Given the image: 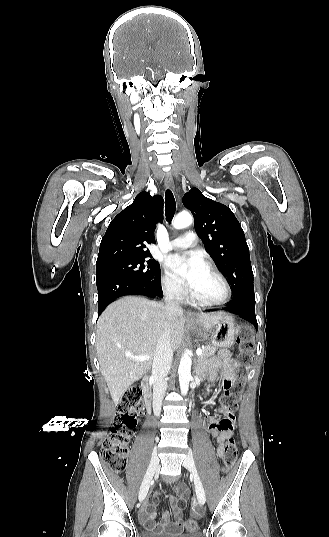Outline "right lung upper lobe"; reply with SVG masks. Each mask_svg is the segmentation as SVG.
Wrapping results in <instances>:
<instances>
[{"label":"right lung upper lobe","mask_w":329,"mask_h":537,"mask_svg":"<svg viewBox=\"0 0 329 537\" xmlns=\"http://www.w3.org/2000/svg\"><path fill=\"white\" fill-rule=\"evenodd\" d=\"M163 219V198L146 191L109 224L100 243L97 265L114 260L151 257L147 244L155 243L156 224Z\"/></svg>","instance_id":"1"}]
</instances>
